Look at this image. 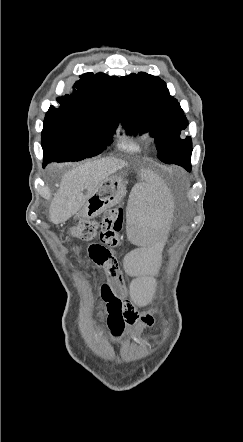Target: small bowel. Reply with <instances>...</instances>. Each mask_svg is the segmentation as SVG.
<instances>
[{"mask_svg": "<svg viewBox=\"0 0 243 442\" xmlns=\"http://www.w3.org/2000/svg\"><path fill=\"white\" fill-rule=\"evenodd\" d=\"M93 262L102 267L108 277V281L100 287L103 300L99 309L100 318L107 322L115 341L124 342L127 326H134L129 334L138 338L144 329L154 324L153 315L149 312L139 315L132 304L125 299L126 288L116 257L107 264L96 260Z\"/></svg>", "mask_w": 243, "mask_h": 442, "instance_id": "obj_1", "label": "small bowel"}]
</instances>
